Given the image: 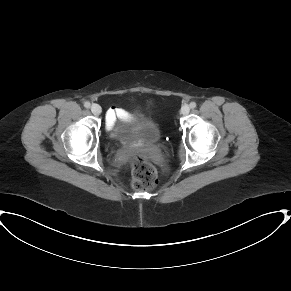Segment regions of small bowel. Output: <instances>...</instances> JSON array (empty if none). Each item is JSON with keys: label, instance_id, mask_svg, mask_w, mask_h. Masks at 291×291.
I'll list each match as a JSON object with an SVG mask.
<instances>
[{"label": "small bowel", "instance_id": "c3829d8e", "mask_svg": "<svg viewBox=\"0 0 291 291\" xmlns=\"http://www.w3.org/2000/svg\"><path fill=\"white\" fill-rule=\"evenodd\" d=\"M127 114L124 109L113 107L107 111L106 121L108 124H113L117 119H122Z\"/></svg>", "mask_w": 291, "mask_h": 291}]
</instances>
